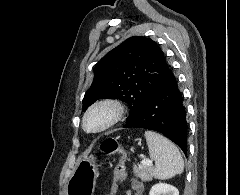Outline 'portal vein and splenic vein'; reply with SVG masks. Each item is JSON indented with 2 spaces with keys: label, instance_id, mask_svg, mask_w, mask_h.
<instances>
[{
  "label": "portal vein and splenic vein",
  "instance_id": "portal-vein-and-splenic-vein-1",
  "mask_svg": "<svg viewBox=\"0 0 240 195\" xmlns=\"http://www.w3.org/2000/svg\"><path fill=\"white\" fill-rule=\"evenodd\" d=\"M141 165H153L152 159H141Z\"/></svg>",
  "mask_w": 240,
  "mask_h": 195
}]
</instances>
